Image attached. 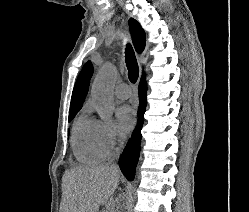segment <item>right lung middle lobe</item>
<instances>
[{
    "mask_svg": "<svg viewBox=\"0 0 249 212\" xmlns=\"http://www.w3.org/2000/svg\"><path fill=\"white\" fill-rule=\"evenodd\" d=\"M79 110H70L69 112V122L75 117V115L77 114Z\"/></svg>",
    "mask_w": 249,
    "mask_h": 212,
    "instance_id": "1",
    "label": "right lung middle lobe"
}]
</instances>
